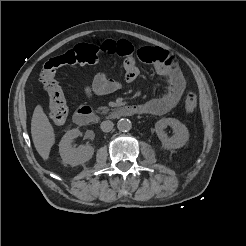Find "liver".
Instances as JSON below:
<instances>
[{
  "instance_id": "6515ba94",
  "label": "liver",
  "mask_w": 246,
  "mask_h": 246,
  "mask_svg": "<svg viewBox=\"0 0 246 246\" xmlns=\"http://www.w3.org/2000/svg\"><path fill=\"white\" fill-rule=\"evenodd\" d=\"M31 135L39 155L43 160H48L50 150L55 143V133L41 105H37L34 109L31 120Z\"/></svg>"
}]
</instances>
